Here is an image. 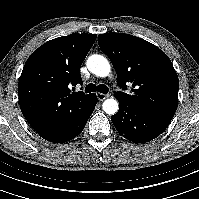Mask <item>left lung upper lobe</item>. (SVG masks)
Returning a JSON list of instances; mask_svg holds the SVG:
<instances>
[{"label":"left lung upper lobe","instance_id":"1","mask_svg":"<svg viewBox=\"0 0 199 199\" xmlns=\"http://www.w3.org/2000/svg\"><path fill=\"white\" fill-rule=\"evenodd\" d=\"M101 50L110 58L120 87L132 84L133 95L115 97L153 116L171 121L178 106L179 81L168 56L155 45L129 34L98 36Z\"/></svg>","mask_w":199,"mask_h":199}]
</instances>
